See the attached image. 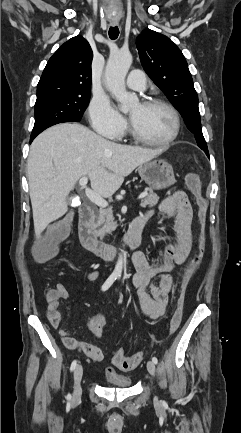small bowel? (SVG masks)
Instances as JSON below:
<instances>
[{"instance_id": "small-bowel-1", "label": "small bowel", "mask_w": 241, "mask_h": 433, "mask_svg": "<svg viewBox=\"0 0 241 433\" xmlns=\"http://www.w3.org/2000/svg\"><path fill=\"white\" fill-rule=\"evenodd\" d=\"M158 210L174 219L176 240L164 246L158 263L152 262L140 253L134 255L132 259V266L135 269L132 285L137 289V301L143 313L152 320L165 314L173 288V278L170 272L187 260L194 246L193 212L186 193L176 191L167 196L159 204ZM151 215L152 211L143 216L148 218ZM97 277L98 271L87 273L90 281ZM60 299L69 301L70 295L62 284H57L48 295L47 318L51 326L58 330L67 348L82 351L94 362L102 361L104 354L100 346L78 341L61 328V315L58 311ZM105 324L104 315L97 314L91 318L89 327L96 339H101Z\"/></svg>"}]
</instances>
